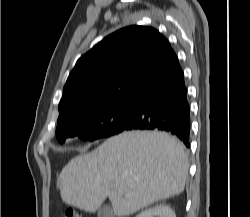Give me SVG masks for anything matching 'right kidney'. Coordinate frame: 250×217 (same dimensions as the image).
Masks as SVG:
<instances>
[{
	"mask_svg": "<svg viewBox=\"0 0 250 217\" xmlns=\"http://www.w3.org/2000/svg\"><path fill=\"white\" fill-rule=\"evenodd\" d=\"M136 217H176L175 212L166 204H159L142 211Z\"/></svg>",
	"mask_w": 250,
	"mask_h": 217,
	"instance_id": "obj_1",
	"label": "right kidney"
}]
</instances>
